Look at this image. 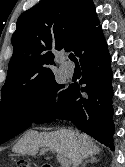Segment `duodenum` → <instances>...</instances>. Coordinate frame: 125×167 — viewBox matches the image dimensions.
Instances as JSON below:
<instances>
[{
	"label": "duodenum",
	"mask_w": 125,
	"mask_h": 167,
	"mask_svg": "<svg viewBox=\"0 0 125 167\" xmlns=\"http://www.w3.org/2000/svg\"><path fill=\"white\" fill-rule=\"evenodd\" d=\"M43 167H52V166L48 164H44Z\"/></svg>",
	"instance_id": "1"
}]
</instances>
